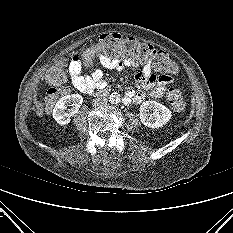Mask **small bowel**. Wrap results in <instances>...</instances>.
I'll return each instance as SVG.
<instances>
[{
  "label": "small bowel",
  "mask_w": 233,
  "mask_h": 233,
  "mask_svg": "<svg viewBox=\"0 0 233 233\" xmlns=\"http://www.w3.org/2000/svg\"><path fill=\"white\" fill-rule=\"evenodd\" d=\"M99 60L103 67L120 73L124 67H139L141 71L135 76L140 86L149 90H129L125 94L124 101L126 104H139L147 97L161 98L169 84L173 82V78L169 74L159 72L150 59L139 61L137 59H128L123 56H109L106 53H99ZM69 77L74 87L85 94H92L96 90L106 87V81L103 72L95 69L91 74H82V63L78 55H74L68 67Z\"/></svg>",
  "instance_id": "1"
}]
</instances>
